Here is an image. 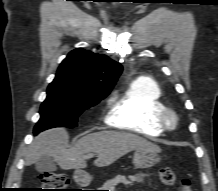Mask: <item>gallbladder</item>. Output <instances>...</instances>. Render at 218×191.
I'll return each instance as SVG.
<instances>
[{
	"label": "gallbladder",
	"instance_id": "1",
	"mask_svg": "<svg viewBox=\"0 0 218 191\" xmlns=\"http://www.w3.org/2000/svg\"><path fill=\"white\" fill-rule=\"evenodd\" d=\"M35 168L38 172H53L57 169L56 162L51 156H42L35 162Z\"/></svg>",
	"mask_w": 218,
	"mask_h": 191
}]
</instances>
